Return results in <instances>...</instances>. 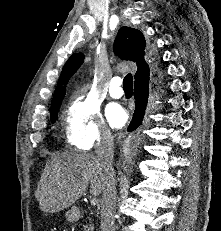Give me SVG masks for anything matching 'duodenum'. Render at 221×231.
<instances>
[{"mask_svg":"<svg viewBox=\"0 0 221 231\" xmlns=\"http://www.w3.org/2000/svg\"><path fill=\"white\" fill-rule=\"evenodd\" d=\"M80 217H81V215L78 213V214H77V219H80Z\"/></svg>","mask_w":221,"mask_h":231,"instance_id":"410a0bca","label":"duodenum"}]
</instances>
